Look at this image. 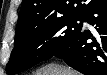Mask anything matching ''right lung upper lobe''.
<instances>
[{"mask_svg": "<svg viewBox=\"0 0 107 75\" xmlns=\"http://www.w3.org/2000/svg\"><path fill=\"white\" fill-rule=\"evenodd\" d=\"M81 2V0H24L17 28L29 31L69 15L81 14L86 6Z\"/></svg>", "mask_w": 107, "mask_h": 75, "instance_id": "cb5924a9", "label": "right lung upper lobe"}]
</instances>
